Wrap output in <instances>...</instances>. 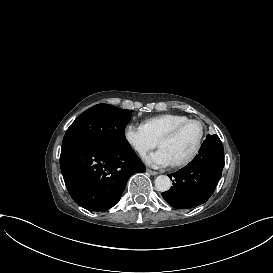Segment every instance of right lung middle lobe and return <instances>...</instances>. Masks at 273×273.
I'll return each mask as SVG.
<instances>
[{
	"instance_id": "1",
	"label": "right lung middle lobe",
	"mask_w": 273,
	"mask_h": 273,
	"mask_svg": "<svg viewBox=\"0 0 273 273\" xmlns=\"http://www.w3.org/2000/svg\"><path fill=\"white\" fill-rule=\"evenodd\" d=\"M131 111L109 104L95 105L70 125L63 138L62 147L86 142L110 146L121 150L131 146L125 138V127L130 121Z\"/></svg>"
}]
</instances>
